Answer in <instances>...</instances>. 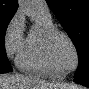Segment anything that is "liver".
<instances>
[{"instance_id":"liver-1","label":"liver","mask_w":89,"mask_h":89,"mask_svg":"<svg viewBox=\"0 0 89 89\" xmlns=\"http://www.w3.org/2000/svg\"><path fill=\"white\" fill-rule=\"evenodd\" d=\"M59 84L47 83L36 77L14 74L0 76V89H58ZM69 89H78L75 86Z\"/></svg>"}]
</instances>
